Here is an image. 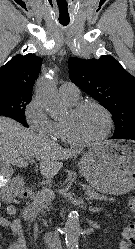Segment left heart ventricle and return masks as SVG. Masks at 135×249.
I'll list each match as a JSON object with an SVG mask.
<instances>
[{"label":"left heart ventricle","instance_id":"b2bd125f","mask_svg":"<svg viewBox=\"0 0 135 249\" xmlns=\"http://www.w3.org/2000/svg\"><path fill=\"white\" fill-rule=\"evenodd\" d=\"M64 122L69 124L74 135L82 140L96 139L106 130L105 116L95 107L85 108L77 114L70 110Z\"/></svg>","mask_w":135,"mask_h":249}]
</instances>
